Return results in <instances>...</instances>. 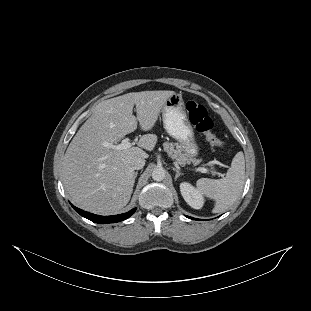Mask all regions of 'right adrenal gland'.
<instances>
[{
	"label": "right adrenal gland",
	"instance_id": "right-adrenal-gland-1",
	"mask_svg": "<svg viewBox=\"0 0 311 311\" xmlns=\"http://www.w3.org/2000/svg\"><path fill=\"white\" fill-rule=\"evenodd\" d=\"M137 175H138V172L135 173V177H137Z\"/></svg>",
	"mask_w": 311,
	"mask_h": 311
}]
</instances>
